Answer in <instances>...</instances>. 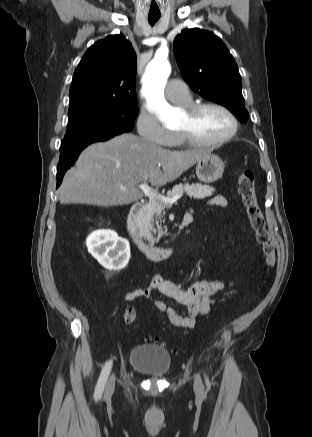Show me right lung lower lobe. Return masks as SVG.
I'll list each match as a JSON object with an SVG mask.
<instances>
[{
  "label": "right lung lower lobe",
  "instance_id": "obj_1",
  "mask_svg": "<svg viewBox=\"0 0 312 437\" xmlns=\"http://www.w3.org/2000/svg\"><path fill=\"white\" fill-rule=\"evenodd\" d=\"M108 139L109 138H106V139L101 140V141H105ZM94 142H97V141H94ZM91 143H93V142L79 145V146H77L69 151L60 153V159H59V163L57 166V188L60 186L65 172L74 164V162L78 158L81 151Z\"/></svg>",
  "mask_w": 312,
  "mask_h": 437
}]
</instances>
